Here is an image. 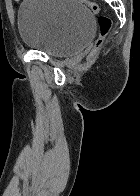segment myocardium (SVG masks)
Returning a JSON list of instances; mask_svg holds the SVG:
<instances>
[{
    "mask_svg": "<svg viewBox=\"0 0 140 196\" xmlns=\"http://www.w3.org/2000/svg\"><path fill=\"white\" fill-rule=\"evenodd\" d=\"M37 192H44V191H37ZM56 192H64V191H56Z\"/></svg>",
    "mask_w": 140,
    "mask_h": 196,
    "instance_id": "obj_1",
    "label": "myocardium"
}]
</instances>
